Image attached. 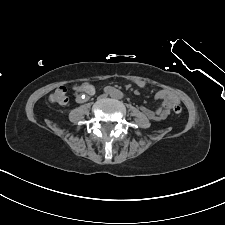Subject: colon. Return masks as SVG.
Instances as JSON below:
<instances>
[{"label":"colon","mask_w":225,"mask_h":225,"mask_svg":"<svg viewBox=\"0 0 225 225\" xmlns=\"http://www.w3.org/2000/svg\"><path fill=\"white\" fill-rule=\"evenodd\" d=\"M77 90L90 91L92 90L91 84H83L77 88ZM48 102L51 104L65 105L68 102L67 90L64 86L57 87L49 96ZM175 114H180L182 112V107L180 105H175L173 108Z\"/></svg>","instance_id":"1"}]
</instances>
